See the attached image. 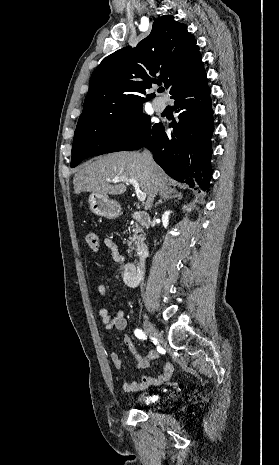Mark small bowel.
<instances>
[{
	"label": "small bowel",
	"instance_id": "c3829d8e",
	"mask_svg": "<svg viewBox=\"0 0 279 465\" xmlns=\"http://www.w3.org/2000/svg\"><path fill=\"white\" fill-rule=\"evenodd\" d=\"M104 243L110 252L112 259L119 264V270L114 275V277L117 279H123L125 282V273L128 269L132 268L133 265L131 263L125 262V258L120 253L119 247L114 240L106 238ZM97 292L101 298L106 299L108 295L107 285H98ZM99 316L106 330L116 329L122 331L127 327V320L123 311L111 312L107 308H102L99 310ZM123 342L126 345L129 353L132 355L135 362V367L138 370L147 369L150 365V362L158 357V353L154 350L150 351L146 356H140L137 352L134 342L127 335L123 337ZM109 358L115 368L119 369L122 366V360L117 352L111 351L109 353ZM173 371V364L171 362H166L162 368V371L157 376L143 375L141 380L138 382L125 381L122 385V388L125 392H136L151 386L160 385L171 378Z\"/></svg>",
	"mask_w": 279,
	"mask_h": 465
}]
</instances>
